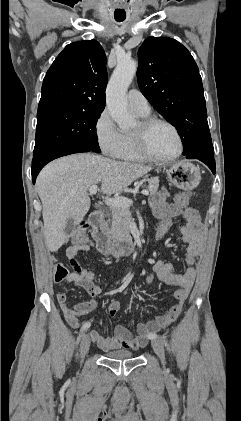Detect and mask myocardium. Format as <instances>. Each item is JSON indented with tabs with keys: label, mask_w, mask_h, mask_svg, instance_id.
Instances as JSON below:
<instances>
[{
	"label": "myocardium",
	"mask_w": 241,
	"mask_h": 421,
	"mask_svg": "<svg viewBox=\"0 0 241 421\" xmlns=\"http://www.w3.org/2000/svg\"><path fill=\"white\" fill-rule=\"evenodd\" d=\"M158 124H163L171 128L173 132L175 133L177 141H178V149L176 153L168 158H158L154 156L148 148V144H147L148 133L152 127ZM133 138H134V141L139 153L146 160L156 163V164L171 163L175 161L176 159H178L184 150V142H183V138L179 129L172 122L163 118H158V117L144 118L143 120L139 122L138 127L133 131Z\"/></svg>",
	"instance_id": "obj_1"
}]
</instances>
